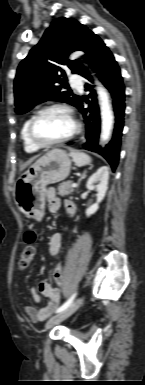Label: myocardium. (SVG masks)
Returning a JSON list of instances; mask_svg holds the SVG:
<instances>
[{"instance_id":"1","label":"myocardium","mask_w":145,"mask_h":385,"mask_svg":"<svg viewBox=\"0 0 145 385\" xmlns=\"http://www.w3.org/2000/svg\"><path fill=\"white\" fill-rule=\"evenodd\" d=\"M53 110H59V111L66 113L71 118V120L73 121L74 129L68 136H66L62 139L52 141V142L40 141L35 135L36 122L38 121V119L43 114H45L49 111H53ZM80 130H81L80 121L77 118L74 111L69 106H67L65 104H52V105L43 107L37 113H35V115L32 116L30 123L28 125L27 134H28V138H29L30 142L35 147H37L39 149H43V148H50V147L58 146V145L64 144V143L72 140L74 137H76L80 133Z\"/></svg>"}]
</instances>
